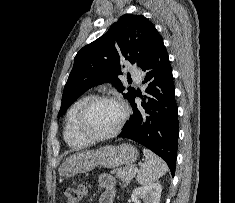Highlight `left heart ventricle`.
<instances>
[{"label":"left heart ventricle","instance_id":"b2bd125f","mask_svg":"<svg viewBox=\"0 0 235 203\" xmlns=\"http://www.w3.org/2000/svg\"><path fill=\"white\" fill-rule=\"evenodd\" d=\"M122 108L119 104L110 101L96 103L87 113L83 128L94 135L111 132L119 123Z\"/></svg>","mask_w":235,"mask_h":203}]
</instances>
